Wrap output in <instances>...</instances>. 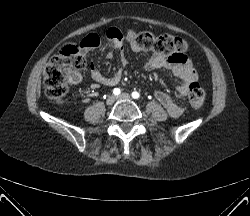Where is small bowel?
I'll use <instances>...</instances> for the list:
<instances>
[{
  "mask_svg": "<svg viewBox=\"0 0 250 216\" xmlns=\"http://www.w3.org/2000/svg\"><path fill=\"white\" fill-rule=\"evenodd\" d=\"M100 42V37L97 34H90L86 36L80 43V49L83 56L86 57L91 50L100 45ZM113 43L121 53V68L114 75L105 76L97 69V67L93 63L90 65V74L92 79L104 86H115L120 83L123 76V69L128 63L126 57L124 56L125 44L123 38H113ZM131 48L133 51L140 50L133 43H131ZM144 68L147 71H153L157 69L168 70L171 73L172 77L180 81L176 87V90L181 96H186L188 94L189 84L197 79L196 71L184 54H176L170 56L158 53L153 54L146 61ZM80 81L81 75L78 73H75L70 79V82L73 84H78ZM155 97L167 110L170 116L178 117L183 113V106L174 101L165 92L158 90L155 92Z\"/></svg>",
  "mask_w": 250,
  "mask_h": 216,
  "instance_id": "c3829d8e",
  "label": "small bowel"
}]
</instances>
